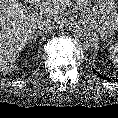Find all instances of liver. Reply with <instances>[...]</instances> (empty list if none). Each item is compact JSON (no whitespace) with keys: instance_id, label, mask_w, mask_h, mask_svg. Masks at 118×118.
Segmentation results:
<instances>
[{"instance_id":"1","label":"liver","mask_w":118,"mask_h":118,"mask_svg":"<svg viewBox=\"0 0 118 118\" xmlns=\"http://www.w3.org/2000/svg\"><path fill=\"white\" fill-rule=\"evenodd\" d=\"M26 2L36 7L41 3L42 12L25 14L18 0H0V71L5 74L18 67L20 53L30 42L40 19L49 17L62 25L66 23L65 16L71 15L73 10L90 12L88 0H77L73 10L67 12L66 8L72 5L71 0H26Z\"/></svg>"}]
</instances>
